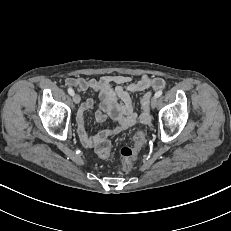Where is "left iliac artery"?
<instances>
[{"label":"left iliac artery","mask_w":231,"mask_h":231,"mask_svg":"<svg viewBox=\"0 0 231 231\" xmlns=\"http://www.w3.org/2000/svg\"><path fill=\"white\" fill-rule=\"evenodd\" d=\"M162 95V91H157L156 93H155V96L156 97H160Z\"/></svg>","instance_id":"1"}]
</instances>
